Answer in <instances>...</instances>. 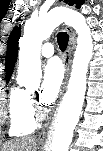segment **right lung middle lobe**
Segmentation results:
<instances>
[{"label": "right lung middle lobe", "mask_w": 103, "mask_h": 151, "mask_svg": "<svg viewBox=\"0 0 103 151\" xmlns=\"http://www.w3.org/2000/svg\"><path fill=\"white\" fill-rule=\"evenodd\" d=\"M7 82L10 80L9 78H6Z\"/></svg>", "instance_id": "obj_1"}]
</instances>
